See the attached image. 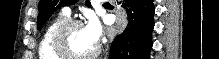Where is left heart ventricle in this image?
<instances>
[{
    "label": "left heart ventricle",
    "instance_id": "b2bd125f",
    "mask_svg": "<svg viewBox=\"0 0 219 59\" xmlns=\"http://www.w3.org/2000/svg\"><path fill=\"white\" fill-rule=\"evenodd\" d=\"M67 46L74 54L83 55L93 51L96 43L86 35L83 26H74L67 34Z\"/></svg>",
    "mask_w": 219,
    "mask_h": 59
}]
</instances>
